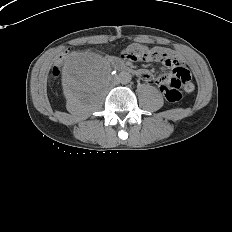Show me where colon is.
Here are the masks:
<instances>
[{
    "label": "colon",
    "instance_id": "obj_1",
    "mask_svg": "<svg viewBox=\"0 0 232 232\" xmlns=\"http://www.w3.org/2000/svg\"><path fill=\"white\" fill-rule=\"evenodd\" d=\"M160 58L158 51H149L145 48L134 49L125 53V58L131 61H138L144 58ZM60 74V66L55 64L52 68V75L57 77ZM164 84L162 92L166 99L171 103H176L182 98L181 90H185V85L191 80L190 74L186 68L176 66L174 72L163 78Z\"/></svg>",
    "mask_w": 232,
    "mask_h": 232
}]
</instances>
